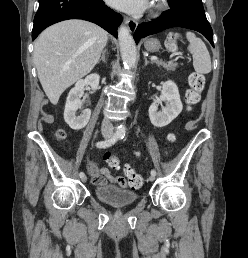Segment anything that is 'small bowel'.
I'll use <instances>...</instances> for the list:
<instances>
[{"label":"small bowel","mask_w":248,"mask_h":258,"mask_svg":"<svg viewBox=\"0 0 248 258\" xmlns=\"http://www.w3.org/2000/svg\"><path fill=\"white\" fill-rule=\"evenodd\" d=\"M136 154L139 155V152ZM91 163V165L88 164V167L91 173V181L93 184L103 185L110 181L121 188H134L130 185V181H127L125 177L114 175L107 168H99L95 163Z\"/></svg>","instance_id":"small-bowel-1"}]
</instances>
